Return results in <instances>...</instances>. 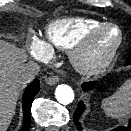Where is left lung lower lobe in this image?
<instances>
[{"mask_svg": "<svg viewBox=\"0 0 131 131\" xmlns=\"http://www.w3.org/2000/svg\"><path fill=\"white\" fill-rule=\"evenodd\" d=\"M95 85H96V82L83 83L82 89L84 91H88V90L92 89L93 87H95ZM84 111H85L84 102H79L78 106L74 112V115H73V121H74V124H75L78 131H85L86 130V126L82 122V115H83ZM111 131H131V119H129V121L125 125H121L119 127H116Z\"/></svg>", "mask_w": 131, "mask_h": 131, "instance_id": "1", "label": "left lung lower lobe"}]
</instances>
